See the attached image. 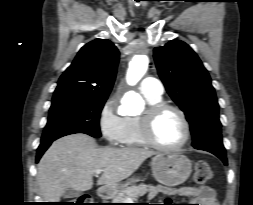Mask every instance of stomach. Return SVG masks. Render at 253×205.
<instances>
[{"mask_svg": "<svg viewBox=\"0 0 253 205\" xmlns=\"http://www.w3.org/2000/svg\"><path fill=\"white\" fill-rule=\"evenodd\" d=\"M151 167L154 178L168 187H175L185 182L191 172L192 163L184 155L178 152L159 153L152 158ZM139 181L137 178L128 179L125 184L107 186V193L113 197L126 186Z\"/></svg>", "mask_w": 253, "mask_h": 205, "instance_id": "stomach-1", "label": "stomach"}]
</instances>
